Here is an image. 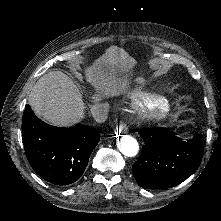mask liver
Listing matches in <instances>:
<instances>
[{
	"mask_svg": "<svg viewBox=\"0 0 221 221\" xmlns=\"http://www.w3.org/2000/svg\"><path fill=\"white\" fill-rule=\"evenodd\" d=\"M122 53H111V47L84 69L85 80L93 87L90 100L103 103L115 94H125L130 85L121 76L107 70L118 67ZM105 67V69H104ZM28 103L37 117L56 127H72L85 118L86 105L74 83L61 71L41 76L29 94Z\"/></svg>",
	"mask_w": 221,
	"mask_h": 221,
	"instance_id": "6515ba94",
	"label": "liver"
}]
</instances>
